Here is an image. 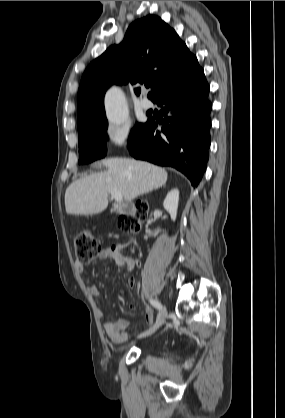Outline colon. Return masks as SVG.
Segmentation results:
<instances>
[{"instance_id":"5ec220e1","label":"colon","mask_w":285,"mask_h":418,"mask_svg":"<svg viewBox=\"0 0 285 418\" xmlns=\"http://www.w3.org/2000/svg\"><path fill=\"white\" fill-rule=\"evenodd\" d=\"M145 212L144 205L137 207L133 214L120 218L119 227L123 231H138L145 220ZM74 247L77 260L81 263L89 262L99 251L98 240L89 231L80 232L74 237Z\"/></svg>"}]
</instances>
